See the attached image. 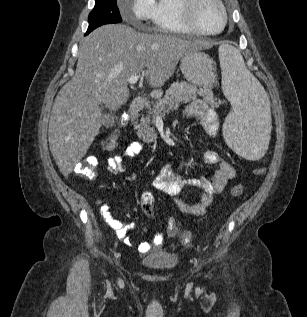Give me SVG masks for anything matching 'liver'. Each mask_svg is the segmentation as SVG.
<instances>
[{"label":"liver","mask_w":307,"mask_h":317,"mask_svg":"<svg viewBox=\"0 0 307 317\" xmlns=\"http://www.w3.org/2000/svg\"><path fill=\"white\" fill-rule=\"evenodd\" d=\"M211 46L127 25H105L82 40L75 75L56 96L49 120V148L60 172L68 176L86 154L103 124L101 105L116 111L127 101L129 77L162 87L185 53Z\"/></svg>","instance_id":"obj_1"}]
</instances>
